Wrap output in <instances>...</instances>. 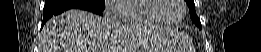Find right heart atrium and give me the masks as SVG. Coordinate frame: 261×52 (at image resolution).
<instances>
[{"label": "right heart atrium", "instance_id": "1", "mask_svg": "<svg viewBox=\"0 0 261 52\" xmlns=\"http://www.w3.org/2000/svg\"><path fill=\"white\" fill-rule=\"evenodd\" d=\"M124 1L125 0H106L105 1V13L111 17L119 15V13L116 11L115 7Z\"/></svg>", "mask_w": 261, "mask_h": 52}]
</instances>
